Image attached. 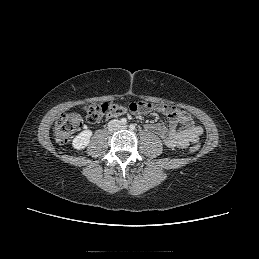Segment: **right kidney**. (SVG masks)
I'll use <instances>...</instances> for the list:
<instances>
[{"label": "right kidney", "instance_id": "right-kidney-1", "mask_svg": "<svg viewBox=\"0 0 259 259\" xmlns=\"http://www.w3.org/2000/svg\"><path fill=\"white\" fill-rule=\"evenodd\" d=\"M92 136L91 130H84L79 133L72 141V145L75 149L81 150L88 146L90 137Z\"/></svg>", "mask_w": 259, "mask_h": 259}]
</instances>
